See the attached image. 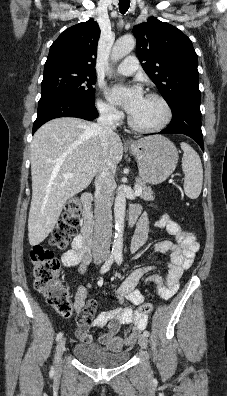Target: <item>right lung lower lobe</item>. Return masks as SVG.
I'll list each match as a JSON object with an SVG mask.
<instances>
[{
  "label": "right lung lower lobe",
  "instance_id": "right-lung-lower-lobe-1",
  "mask_svg": "<svg viewBox=\"0 0 227 396\" xmlns=\"http://www.w3.org/2000/svg\"><path fill=\"white\" fill-rule=\"evenodd\" d=\"M59 117H77L93 120L98 117L94 104L66 95H52L41 98L38 104V115L33 125V133L47 121Z\"/></svg>",
  "mask_w": 227,
  "mask_h": 396
}]
</instances>
